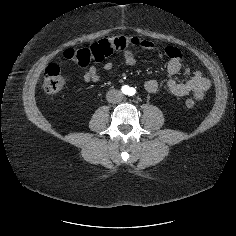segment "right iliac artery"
Returning a JSON list of instances; mask_svg holds the SVG:
<instances>
[{
	"instance_id": "82829eb1",
	"label": "right iliac artery",
	"mask_w": 236,
	"mask_h": 236,
	"mask_svg": "<svg viewBox=\"0 0 236 236\" xmlns=\"http://www.w3.org/2000/svg\"><path fill=\"white\" fill-rule=\"evenodd\" d=\"M129 91V87L127 86V85H124L123 87H122V92L123 93H127Z\"/></svg>"
}]
</instances>
